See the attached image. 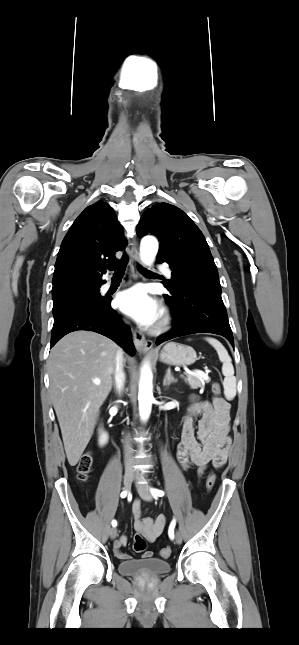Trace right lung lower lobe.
<instances>
[{"label":"right lung lower lobe","instance_id":"right-lung-lower-lobe-1","mask_svg":"<svg viewBox=\"0 0 299 645\" xmlns=\"http://www.w3.org/2000/svg\"><path fill=\"white\" fill-rule=\"evenodd\" d=\"M110 302L111 298H106L99 305L76 309L54 322L50 348L70 332L89 330L112 339L127 353L134 355L130 329L121 323L118 313L111 308Z\"/></svg>","mask_w":299,"mask_h":645}]
</instances>
